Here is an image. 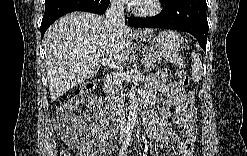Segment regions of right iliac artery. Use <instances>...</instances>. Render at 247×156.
<instances>
[{"mask_svg":"<svg viewBox=\"0 0 247 156\" xmlns=\"http://www.w3.org/2000/svg\"><path fill=\"white\" fill-rule=\"evenodd\" d=\"M131 127H128V135H127V138H126V142H124L122 148H121V151L119 153L120 156H122L124 154V150H126L129 142H130V137H131V131H130Z\"/></svg>","mask_w":247,"mask_h":156,"instance_id":"right-iliac-artery-1","label":"right iliac artery"}]
</instances>
